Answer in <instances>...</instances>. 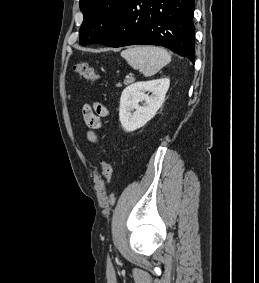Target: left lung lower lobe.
Returning <instances> with one entry per match:
<instances>
[{"label": "left lung lower lobe", "instance_id": "0a47b994", "mask_svg": "<svg viewBox=\"0 0 259 283\" xmlns=\"http://www.w3.org/2000/svg\"><path fill=\"white\" fill-rule=\"evenodd\" d=\"M194 0H130L120 21L100 44L164 46L195 60Z\"/></svg>", "mask_w": 259, "mask_h": 283}]
</instances>
